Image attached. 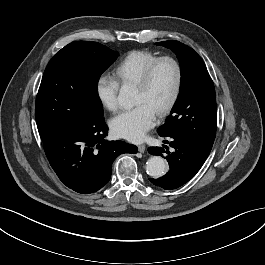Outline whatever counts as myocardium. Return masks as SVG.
<instances>
[{"mask_svg": "<svg viewBox=\"0 0 265 265\" xmlns=\"http://www.w3.org/2000/svg\"><path fill=\"white\" fill-rule=\"evenodd\" d=\"M166 61L173 64L175 71H176V81H175L173 93L169 101L165 104L163 108H161L156 113L158 117H165L166 115H168L173 110V108L178 102V99L181 94L182 84H183V71H182L181 64L176 58L172 56L158 57L144 70L139 81L136 83V88L140 90H147L150 86L155 69L160 63L166 62Z\"/></svg>", "mask_w": 265, "mask_h": 265, "instance_id": "myocardium-1", "label": "myocardium"}]
</instances>
